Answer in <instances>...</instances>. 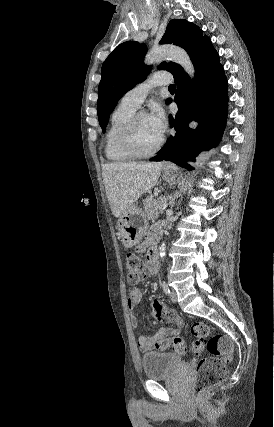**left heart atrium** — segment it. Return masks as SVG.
Returning a JSON list of instances; mask_svg holds the SVG:
<instances>
[{"label": "left heart atrium", "mask_w": 274, "mask_h": 427, "mask_svg": "<svg viewBox=\"0 0 274 427\" xmlns=\"http://www.w3.org/2000/svg\"><path fill=\"white\" fill-rule=\"evenodd\" d=\"M147 116L153 129L163 136L167 127L164 110L160 106H155Z\"/></svg>", "instance_id": "1"}]
</instances>
